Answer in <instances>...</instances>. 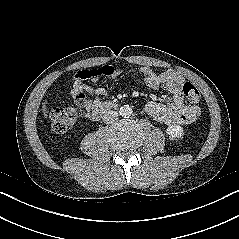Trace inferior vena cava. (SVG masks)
Returning <instances> with one entry per match:
<instances>
[{
	"instance_id": "obj_1",
	"label": "inferior vena cava",
	"mask_w": 239,
	"mask_h": 239,
	"mask_svg": "<svg viewBox=\"0 0 239 239\" xmlns=\"http://www.w3.org/2000/svg\"><path fill=\"white\" fill-rule=\"evenodd\" d=\"M103 122L106 124L113 123L118 120V112L116 111H108L103 115Z\"/></svg>"
}]
</instances>
